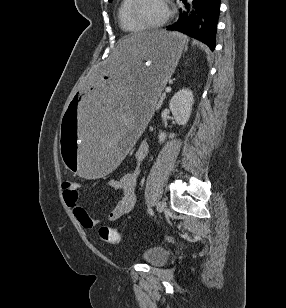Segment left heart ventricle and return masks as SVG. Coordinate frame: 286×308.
<instances>
[{
    "instance_id": "obj_1",
    "label": "left heart ventricle",
    "mask_w": 286,
    "mask_h": 308,
    "mask_svg": "<svg viewBox=\"0 0 286 308\" xmlns=\"http://www.w3.org/2000/svg\"><path fill=\"white\" fill-rule=\"evenodd\" d=\"M138 14L146 23H157L166 16L167 7L164 0H141Z\"/></svg>"
}]
</instances>
